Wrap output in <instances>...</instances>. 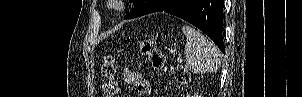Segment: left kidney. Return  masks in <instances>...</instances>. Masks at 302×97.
Masks as SVG:
<instances>
[{
	"mask_svg": "<svg viewBox=\"0 0 302 97\" xmlns=\"http://www.w3.org/2000/svg\"><path fill=\"white\" fill-rule=\"evenodd\" d=\"M187 97H198V95H193V96L187 95Z\"/></svg>",
	"mask_w": 302,
	"mask_h": 97,
	"instance_id": "obj_1",
	"label": "left kidney"
}]
</instances>
